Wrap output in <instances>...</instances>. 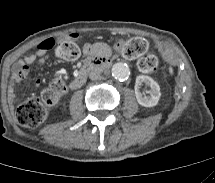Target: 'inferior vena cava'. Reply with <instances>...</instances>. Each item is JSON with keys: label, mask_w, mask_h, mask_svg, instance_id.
Returning <instances> with one entry per match:
<instances>
[{"label": "inferior vena cava", "mask_w": 215, "mask_h": 183, "mask_svg": "<svg viewBox=\"0 0 215 183\" xmlns=\"http://www.w3.org/2000/svg\"><path fill=\"white\" fill-rule=\"evenodd\" d=\"M89 78H90L91 80H97V79H99V78H100V73H99V71H97V70H92V71L89 73Z\"/></svg>", "instance_id": "obj_1"}]
</instances>
